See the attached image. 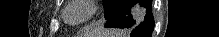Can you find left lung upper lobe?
<instances>
[{"label":"left lung upper lobe","instance_id":"left-lung-upper-lobe-1","mask_svg":"<svg viewBox=\"0 0 219 37\" xmlns=\"http://www.w3.org/2000/svg\"><path fill=\"white\" fill-rule=\"evenodd\" d=\"M119 0H103L104 3V16L105 19H108L113 12L115 6Z\"/></svg>","mask_w":219,"mask_h":37}]
</instances>
